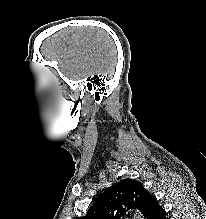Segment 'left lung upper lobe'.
<instances>
[{"mask_svg": "<svg viewBox=\"0 0 206 219\" xmlns=\"http://www.w3.org/2000/svg\"><path fill=\"white\" fill-rule=\"evenodd\" d=\"M153 197L140 182L127 179L106 189L88 209L86 216L78 219H120L126 208H137L146 218Z\"/></svg>", "mask_w": 206, "mask_h": 219, "instance_id": "1", "label": "left lung upper lobe"}]
</instances>
